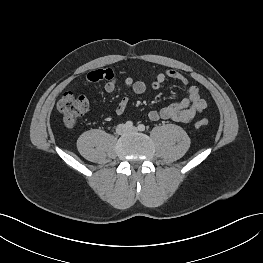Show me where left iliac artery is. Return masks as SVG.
<instances>
[{
	"mask_svg": "<svg viewBox=\"0 0 263 263\" xmlns=\"http://www.w3.org/2000/svg\"><path fill=\"white\" fill-rule=\"evenodd\" d=\"M138 130L139 131H144L145 130V126L143 124H139L138 125Z\"/></svg>",
	"mask_w": 263,
	"mask_h": 263,
	"instance_id": "1",
	"label": "left iliac artery"
}]
</instances>
